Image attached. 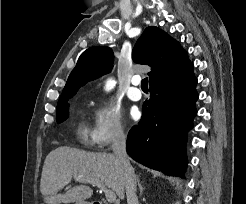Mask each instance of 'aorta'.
I'll return each instance as SVG.
<instances>
[{
    "instance_id": "aorta-1",
    "label": "aorta",
    "mask_w": 246,
    "mask_h": 204,
    "mask_svg": "<svg viewBox=\"0 0 246 204\" xmlns=\"http://www.w3.org/2000/svg\"><path fill=\"white\" fill-rule=\"evenodd\" d=\"M114 85V81L112 79L108 80L106 83V89L110 90Z\"/></svg>"
}]
</instances>
